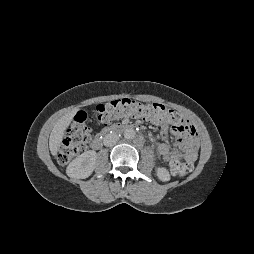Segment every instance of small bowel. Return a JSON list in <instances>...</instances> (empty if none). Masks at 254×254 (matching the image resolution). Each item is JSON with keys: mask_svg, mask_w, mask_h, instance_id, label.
<instances>
[{"mask_svg": "<svg viewBox=\"0 0 254 254\" xmlns=\"http://www.w3.org/2000/svg\"><path fill=\"white\" fill-rule=\"evenodd\" d=\"M161 126L162 142L158 145V152L165 161H173L181 156L188 162H194L198 155L197 139L195 127L185 117L177 114L175 122H156ZM177 137L179 150H171L168 145L169 135Z\"/></svg>", "mask_w": 254, "mask_h": 254, "instance_id": "obj_1", "label": "small bowel"}]
</instances>
